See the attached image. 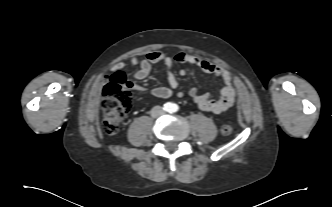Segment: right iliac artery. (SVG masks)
I'll return each instance as SVG.
<instances>
[{"label":"right iliac artery","instance_id":"obj_1","mask_svg":"<svg viewBox=\"0 0 332 207\" xmlns=\"http://www.w3.org/2000/svg\"><path fill=\"white\" fill-rule=\"evenodd\" d=\"M170 107H171L170 104H166V105H165V109H167V110L170 109Z\"/></svg>","mask_w":332,"mask_h":207}]
</instances>
